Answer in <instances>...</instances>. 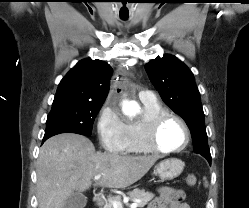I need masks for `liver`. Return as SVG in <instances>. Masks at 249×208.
I'll return each mask as SVG.
<instances>
[{
  "label": "liver",
  "mask_w": 249,
  "mask_h": 208,
  "mask_svg": "<svg viewBox=\"0 0 249 208\" xmlns=\"http://www.w3.org/2000/svg\"><path fill=\"white\" fill-rule=\"evenodd\" d=\"M158 156H121L95 151L85 136L62 133L49 138L37 159L38 208H64L74 192L94 186L124 189L140 180Z\"/></svg>",
  "instance_id": "6515ba94"
}]
</instances>
